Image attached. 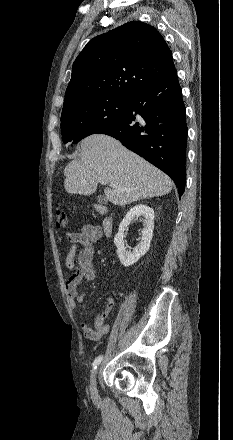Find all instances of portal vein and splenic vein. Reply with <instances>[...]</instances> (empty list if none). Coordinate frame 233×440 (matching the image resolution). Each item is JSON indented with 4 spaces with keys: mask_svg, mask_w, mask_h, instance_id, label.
Returning a JSON list of instances; mask_svg holds the SVG:
<instances>
[{
    "mask_svg": "<svg viewBox=\"0 0 233 440\" xmlns=\"http://www.w3.org/2000/svg\"><path fill=\"white\" fill-rule=\"evenodd\" d=\"M111 187H112V188H116V185L112 184Z\"/></svg>",
    "mask_w": 233,
    "mask_h": 440,
    "instance_id": "portal-vein-and-splenic-vein-1",
    "label": "portal vein and splenic vein"
}]
</instances>
